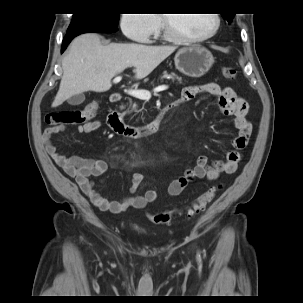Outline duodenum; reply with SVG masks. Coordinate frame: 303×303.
<instances>
[{
    "label": "duodenum",
    "instance_id": "410a0bca",
    "mask_svg": "<svg viewBox=\"0 0 303 303\" xmlns=\"http://www.w3.org/2000/svg\"><path fill=\"white\" fill-rule=\"evenodd\" d=\"M121 100V96L118 93H113L110 96V101L114 104H117ZM177 104L171 103L164 107L157 117L150 122L149 124L143 126L130 125L126 124L123 121L122 114L119 111L118 107H116L108 116V120L111 123L113 131L126 139L141 137L145 135H149L155 132L162 126L163 119L165 115L171 111Z\"/></svg>",
    "mask_w": 303,
    "mask_h": 303
}]
</instances>
